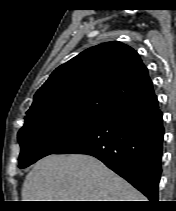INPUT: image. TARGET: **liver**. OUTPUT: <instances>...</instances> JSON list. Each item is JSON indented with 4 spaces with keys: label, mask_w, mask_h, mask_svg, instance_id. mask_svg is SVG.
Here are the masks:
<instances>
[{
    "label": "liver",
    "mask_w": 176,
    "mask_h": 211,
    "mask_svg": "<svg viewBox=\"0 0 176 211\" xmlns=\"http://www.w3.org/2000/svg\"><path fill=\"white\" fill-rule=\"evenodd\" d=\"M22 201H144L145 197L98 159L49 155L27 174Z\"/></svg>",
    "instance_id": "liver-1"
}]
</instances>
